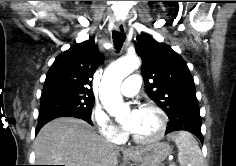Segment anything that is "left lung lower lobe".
<instances>
[{"mask_svg":"<svg viewBox=\"0 0 236 166\" xmlns=\"http://www.w3.org/2000/svg\"><path fill=\"white\" fill-rule=\"evenodd\" d=\"M179 130H185L193 133L203 143V136L201 133V117L198 105L193 104L191 111L178 115L176 118L169 120L166 134Z\"/></svg>","mask_w":236,"mask_h":166,"instance_id":"0a47b994","label":"left lung lower lobe"}]
</instances>
